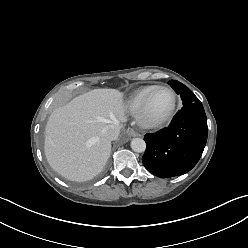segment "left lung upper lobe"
<instances>
[{"instance_id":"obj_1","label":"left lung upper lobe","mask_w":248,"mask_h":248,"mask_svg":"<svg viewBox=\"0 0 248 248\" xmlns=\"http://www.w3.org/2000/svg\"><path fill=\"white\" fill-rule=\"evenodd\" d=\"M168 84L175 90L177 94H180L181 99L183 100V104H186L190 101H193L197 98L192 91L184 84L180 83L176 80H170Z\"/></svg>"}]
</instances>
